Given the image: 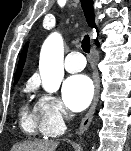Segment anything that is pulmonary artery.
Listing matches in <instances>:
<instances>
[{"label":"pulmonary artery","mask_w":131,"mask_h":151,"mask_svg":"<svg viewBox=\"0 0 131 151\" xmlns=\"http://www.w3.org/2000/svg\"><path fill=\"white\" fill-rule=\"evenodd\" d=\"M86 65V61L84 56L78 52V51H73L70 52L64 61V67L66 71L70 73H75L79 72L84 69Z\"/></svg>","instance_id":"e3ab8cb5"}]
</instances>
